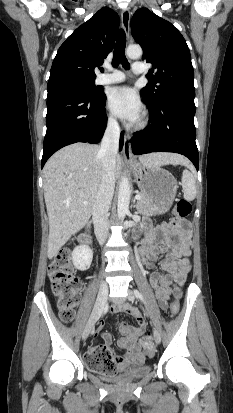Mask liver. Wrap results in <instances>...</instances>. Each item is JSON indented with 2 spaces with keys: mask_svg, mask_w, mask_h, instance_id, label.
<instances>
[{
  "mask_svg": "<svg viewBox=\"0 0 233 413\" xmlns=\"http://www.w3.org/2000/svg\"><path fill=\"white\" fill-rule=\"evenodd\" d=\"M100 146L75 143L57 151L43 169L44 198L49 218L47 256L52 259L61 247L88 222L101 184ZM150 167L187 164L178 154L155 153L139 157ZM117 155L115 178L121 173ZM87 202V204H84Z\"/></svg>",
  "mask_w": 233,
  "mask_h": 413,
  "instance_id": "6515ba94",
  "label": "liver"
}]
</instances>
